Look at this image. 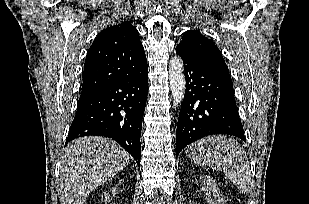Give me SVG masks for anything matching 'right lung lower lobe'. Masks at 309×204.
<instances>
[{
	"label": "right lung lower lobe",
	"instance_id": "1",
	"mask_svg": "<svg viewBox=\"0 0 309 204\" xmlns=\"http://www.w3.org/2000/svg\"><path fill=\"white\" fill-rule=\"evenodd\" d=\"M148 95V70L82 94L66 144L77 137L104 136L118 142L140 164L142 117Z\"/></svg>",
	"mask_w": 309,
	"mask_h": 204
}]
</instances>
